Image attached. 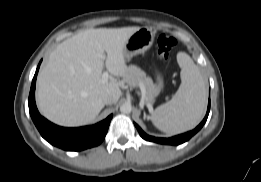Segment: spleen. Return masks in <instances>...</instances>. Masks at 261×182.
<instances>
[{"instance_id":"spleen-1","label":"spleen","mask_w":261,"mask_h":182,"mask_svg":"<svg viewBox=\"0 0 261 182\" xmlns=\"http://www.w3.org/2000/svg\"><path fill=\"white\" fill-rule=\"evenodd\" d=\"M181 68V84L172 99L157 107L151 121L167 134H178L194 128L202 119L207 103V89L204 78L191 57L177 54Z\"/></svg>"}]
</instances>
